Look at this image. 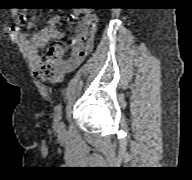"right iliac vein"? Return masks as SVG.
I'll return each instance as SVG.
<instances>
[{"mask_svg":"<svg viewBox=\"0 0 192 180\" xmlns=\"http://www.w3.org/2000/svg\"><path fill=\"white\" fill-rule=\"evenodd\" d=\"M57 128H58V131L61 132L63 130V124L62 123H59L57 125Z\"/></svg>","mask_w":192,"mask_h":180,"instance_id":"right-iliac-vein-1","label":"right iliac vein"}]
</instances>
